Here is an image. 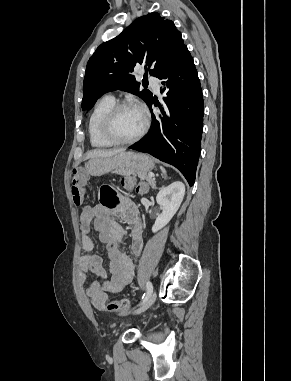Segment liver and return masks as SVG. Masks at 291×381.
Here are the masks:
<instances>
[{
    "instance_id": "6515ba94",
    "label": "liver",
    "mask_w": 291,
    "mask_h": 381,
    "mask_svg": "<svg viewBox=\"0 0 291 381\" xmlns=\"http://www.w3.org/2000/svg\"><path fill=\"white\" fill-rule=\"evenodd\" d=\"M125 152L124 149H113V150H93L90 151L85 159H92V158H98V157H109L113 156L119 153Z\"/></svg>"
}]
</instances>
